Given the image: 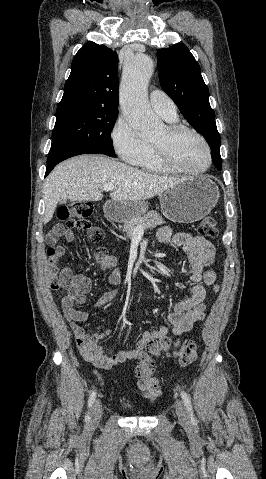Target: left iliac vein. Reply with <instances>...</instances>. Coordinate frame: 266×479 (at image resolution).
Listing matches in <instances>:
<instances>
[{
	"mask_svg": "<svg viewBox=\"0 0 266 479\" xmlns=\"http://www.w3.org/2000/svg\"><path fill=\"white\" fill-rule=\"evenodd\" d=\"M175 411L177 414V417L179 419V422L182 426L188 427L190 426V417L187 411V408L184 404L183 401L177 400L175 404Z\"/></svg>",
	"mask_w": 266,
	"mask_h": 479,
	"instance_id": "4c4485c4",
	"label": "left iliac vein"
}]
</instances>
